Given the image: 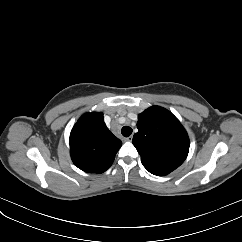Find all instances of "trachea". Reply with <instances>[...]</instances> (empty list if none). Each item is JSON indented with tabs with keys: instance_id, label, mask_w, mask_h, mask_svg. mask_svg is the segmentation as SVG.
<instances>
[{
	"instance_id": "1",
	"label": "trachea",
	"mask_w": 242,
	"mask_h": 242,
	"mask_svg": "<svg viewBox=\"0 0 242 242\" xmlns=\"http://www.w3.org/2000/svg\"><path fill=\"white\" fill-rule=\"evenodd\" d=\"M121 133L124 137H129L132 134V128L129 126H124L121 129Z\"/></svg>"
}]
</instances>
